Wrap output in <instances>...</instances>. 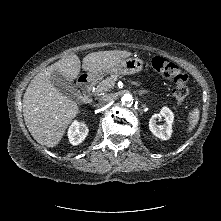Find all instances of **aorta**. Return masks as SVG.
<instances>
[{"label": "aorta", "instance_id": "aorta-1", "mask_svg": "<svg viewBox=\"0 0 221 221\" xmlns=\"http://www.w3.org/2000/svg\"><path fill=\"white\" fill-rule=\"evenodd\" d=\"M133 101V97L131 94H124L123 97H122V102L125 103V102H131Z\"/></svg>", "mask_w": 221, "mask_h": 221}]
</instances>
